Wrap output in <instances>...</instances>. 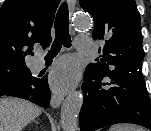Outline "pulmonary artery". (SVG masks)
Wrapping results in <instances>:
<instances>
[{"instance_id":"e3ab8cb5","label":"pulmonary artery","mask_w":151,"mask_h":131,"mask_svg":"<svg viewBox=\"0 0 151 131\" xmlns=\"http://www.w3.org/2000/svg\"><path fill=\"white\" fill-rule=\"evenodd\" d=\"M93 45V40L88 36H79L77 38V47L80 50L88 51L91 49ZM45 60H44V54H38L37 59L34 63L35 69H41L44 66Z\"/></svg>"}]
</instances>
